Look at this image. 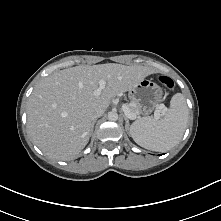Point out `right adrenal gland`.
I'll use <instances>...</instances> for the list:
<instances>
[{
    "mask_svg": "<svg viewBox=\"0 0 221 221\" xmlns=\"http://www.w3.org/2000/svg\"><path fill=\"white\" fill-rule=\"evenodd\" d=\"M95 123H96V120H94V121L92 122L90 135H92V133H93Z\"/></svg>",
    "mask_w": 221,
    "mask_h": 221,
    "instance_id": "right-adrenal-gland-1",
    "label": "right adrenal gland"
}]
</instances>
